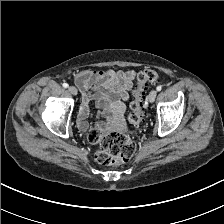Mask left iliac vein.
I'll return each mask as SVG.
<instances>
[{
	"label": "left iliac vein",
	"instance_id": "4c4485c4",
	"mask_svg": "<svg viewBox=\"0 0 224 224\" xmlns=\"http://www.w3.org/2000/svg\"><path fill=\"white\" fill-rule=\"evenodd\" d=\"M157 96V91L155 89L151 90L148 95V100L150 103L154 102L155 98Z\"/></svg>",
	"mask_w": 224,
	"mask_h": 224
}]
</instances>
